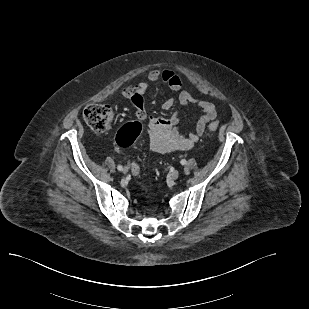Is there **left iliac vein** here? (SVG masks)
Listing matches in <instances>:
<instances>
[{
	"mask_svg": "<svg viewBox=\"0 0 309 309\" xmlns=\"http://www.w3.org/2000/svg\"><path fill=\"white\" fill-rule=\"evenodd\" d=\"M179 177V171L174 170L172 172L169 173V178L171 180H176Z\"/></svg>",
	"mask_w": 309,
	"mask_h": 309,
	"instance_id": "1",
	"label": "left iliac vein"
}]
</instances>
